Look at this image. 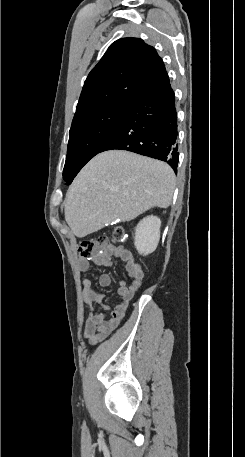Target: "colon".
Segmentation results:
<instances>
[{
	"mask_svg": "<svg viewBox=\"0 0 245 457\" xmlns=\"http://www.w3.org/2000/svg\"><path fill=\"white\" fill-rule=\"evenodd\" d=\"M127 235L123 228L115 227L112 232L111 240L115 243H124ZM108 246L106 236H97L83 240L78 246V257L80 259H91L94 256L101 254Z\"/></svg>",
	"mask_w": 245,
	"mask_h": 457,
	"instance_id": "obj_1",
	"label": "colon"
}]
</instances>
